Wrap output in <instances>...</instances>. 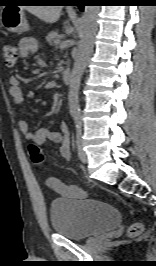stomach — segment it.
<instances>
[{"label": "stomach", "instance_id": "0dacf381", "mask_svg": "<svg viewBox=\"0 0 156 266\" xmlns=\"http://www.w3.org/2000/svg\"><path fill=\"white\" fill-rule=\"evenodd\" d=\"M3 20L5 27L11 32L23 33L28 30V24L22 9L15 8L11 12L7 11L3 15Z\"/></svg>", "mask_w": 156, "mask_h": 266}]
</instances>
